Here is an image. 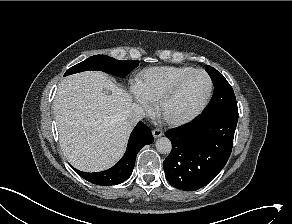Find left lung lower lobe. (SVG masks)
<instances>
[{"label": "left lung lower lobe", "instance_id": "obj_1", "mask_svg": "<svg viewBox=\"0 0 292 224\" xmlns=\"http://www.w3.org/2000/svg\"><path fill=\"white\" fill-rule=\"evenodd\" d=\"M238 121L237 102L203 112L193 123L165 135L172 151L164 160L168 182L184 191L210 183L229 159Z\"/></svg>", "mask_w": 292, "mask_h": 224}]
</instances>
